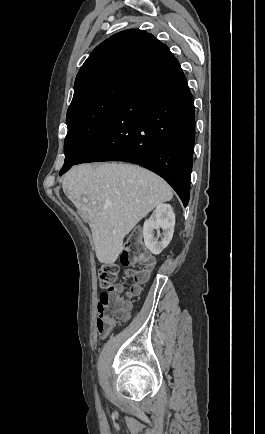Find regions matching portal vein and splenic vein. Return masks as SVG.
I'll return each mask as SVG.
<instances>
[{
	"label": "portal vein and splenic vein",
	"mask_w": 265,
	"mask_h": 434,
	"mask_svg": "<svg viewBox=\"0 0 265 434\" xmlns=\"http://www.w3.org/2000/svg\"><path fill=\"white\" fill-rule=\"evenodd\" d=\"M86 202H88V200H86ZM93 204H96V202H93Z\"/></svg>",
	"instance_id": "portal-vein-and-splenic-vein-1"
}]
</instances>
